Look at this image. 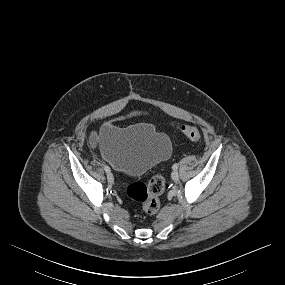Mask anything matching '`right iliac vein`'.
Returning <instances> with one entry per match:
<instances>
[{"instance_id":"right-iliac-vein-1","label":"right iliac vein","mask_w":285,"mask_h":285,"mask_svg":"<svg viewBox=\"0 0 285 285\" xmlns=\"http://www.w3.org/2000/svg\"><path fill=\"white\" fill-rule=\"evenodd\" d=\"M107 179H108L109 182H112V181H113V175H112V173H110V172L107 173Z\"/></svg>"}]
</instances>
